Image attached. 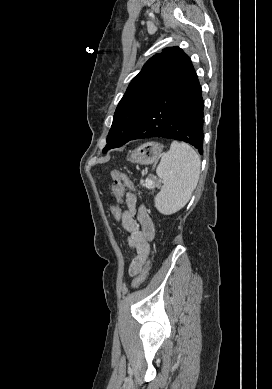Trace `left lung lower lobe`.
<instances>
[{
    "mask_svg": "<svg viewBox=\"0 0 272 389\" xmlns=\"http://www.w3.org/2000/svg\"><path fill=\"white\" fill-rule=\"evenodd\" d=\"M203 108L201 86L190 63L154 97L126 143L162 137L187 142L202 154Z\"/></svg>",
    "mask_w": 272,
    "mask_h": 389,
    "instance_id": "0a47b994",
    "label": "left lung lower lobe"
}]
</instances>
